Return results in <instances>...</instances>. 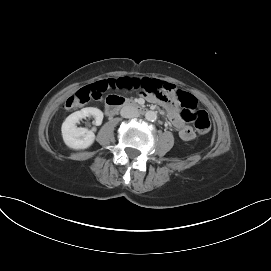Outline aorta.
<instances>
[{"instance_id":"762f6f07","label":"aorta","mask_w":271,"mask_h":271,"mask_svg":"<svg viewBox=\"0 0 271 271\" xmlns=\"http://www.w3.org/2000/svg\"><path fill=\"white\" fill-rule=\"evenodd\" d=\"M145 118L148 121L154 122L157 120V113L155 111H147L145 114Z\"/></svg>"}]
</instances>
